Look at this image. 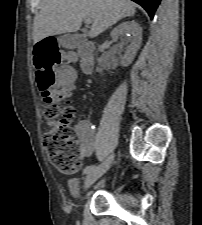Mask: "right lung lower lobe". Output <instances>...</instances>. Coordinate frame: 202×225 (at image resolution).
<instances>
[{
  "label": "right lung lower lobe",
  "mask_w": 202,
  "mask_h": 225,
  "mask_svg": "<svg viewBox=\"0 0 202 225\" xmlns=\"http://www.w3.org/2000/svg\"><path fill=\"white\" fill-rule=\"evenodd\" d=\"M138 4H140L149 14L151 18H153L155 10L160 4L161 0H132Z\"/></svg>",
  "instance_id": "obj_1"
}]
</instances>
